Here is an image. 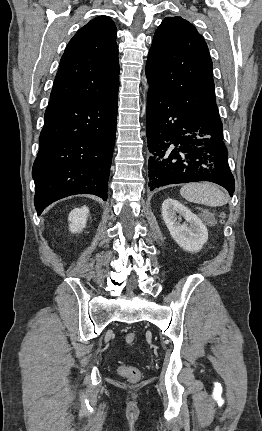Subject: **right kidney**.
<instances>
[{"label": "right kidney", "mask_w": 262, "mask_h": 431, "mask_svg": "<svg viewBox=\"0 0 262 431\" xmlns=\"http://www.w3.org/2000/svg\"><path fill=\"white\" fill-rule=\"evenodd\" d=\"M89 209L86 206L75 208L69 214L70 230L73 233L80 232L86 225Z\"/></svg>", "instance_id": "1"}]
</instances>
